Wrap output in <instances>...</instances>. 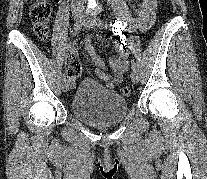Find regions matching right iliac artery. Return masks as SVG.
<instances>
[{
	"label": "right iliac artery",
	"mask_w": 207,
	"mask_h": 179,
	"mask_svg": "<svg viewBox=\"0 0 207 179\" xmlns=\"http://www.w3.org/2000/svg\"><path fill=\"white\" fill-rule=\"evenodd\" d=\"M82 25H83V23L80 21V22L76 23V24L73 26L72 31H71L72 36H76V35L79 33V31H80L81 28H82ZM62 80H63V81H66V76H65V74H63V76H62ZM70 80H71V78H69L68 82H70Z\"/></svg>",
	"instance_id": "82829eb1"
}]
</instances>
